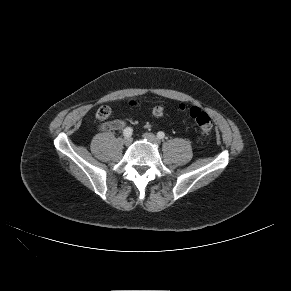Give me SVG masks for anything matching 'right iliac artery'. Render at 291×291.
<instances>
[{"label":"right iliac artery","mask_w":291,"mask_h":291,"mask_svg":"<svg viewBox=\"0 0 291 291\" xmlns=\"http://www.w3.org/2000/svg\"><path fill=\"white\" fill-rule=\"evenodd\" d=\"M133 129L131 127H127L123 130V135L125 137H130L132 135Z\"/></svg>","instance_id":"obj_1"}]
</instances>
